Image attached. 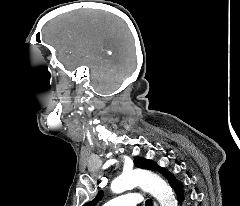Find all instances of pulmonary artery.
I'll return each mask as SVG.
<instances>
[{"mask_svg": "<svg viewBox=\"0 0 240 206\" xmlns=\"http://www.w3.org/2000/svg\"><path fill=\"white\" fill-rule=\"evenodd\" d=\"M141 201L137 193H126L106 202L103 206H136Z\"/></svg>", "mask_w": 240, "mask_h": 206, "instance_id": "pulmonary-artery-1", "label": "pulmonary artery"}]
</instances>
